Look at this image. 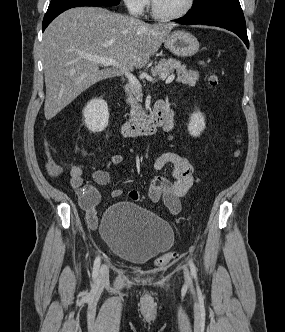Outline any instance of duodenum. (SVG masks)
I'll use <instances>...</instances> for the list:
<instances>
[{"label": "duodenum", "instance_id": "duodenum-1", "mask_svg": "<svg viewBox=\"0 0 285 332\" xmlns=\"http://www.w3.org/2000/svg\"><path fill=\"white\" fill-rule=\"evenodd\" d=\"M166 103L158 100L151 115L142 122H126L121 125V134L125 137H139L154 134L159 127L165 126L170 119Z\"/></svg>", "mask_w": 285, "mask_h": 332}]
</instances>
